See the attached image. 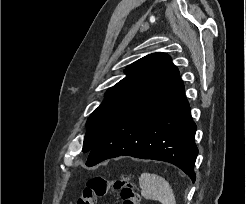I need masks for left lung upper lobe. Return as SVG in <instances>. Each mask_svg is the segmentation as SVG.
I'll use <instances>...</instances> for the list:
<instances>
[{
    "instance_id": "5c2ea615",
    "label": "left lung upper lobe",
    "mask_w": 246,
    "mask_h": 204,
    "mask_svg": "<svg viewBox=\"0 0 246 204\" xmlns=\"http://www.w3.org/2000/svg\"><path fill=\"white\" fill-rule=\"evenodd\" d=\"M127 76L106 92V98L86 123L83 152H89L104 132L122 116L179 76L166 53L149 54L125 70Z\"/></svg>"
}]
</instances>
